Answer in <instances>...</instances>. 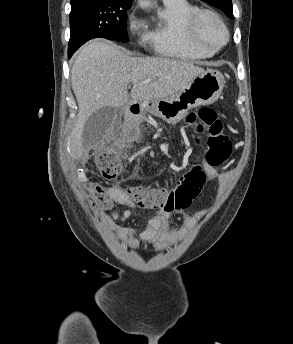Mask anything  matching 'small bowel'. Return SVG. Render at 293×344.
Masks as SVG:
<instances>
[{"instance_id": "obj_1", "label": "small bowel", "mask_w": 293, "mask_h": 344, "mask_svg": "<svg viewBox=\"0 0 293 344\" xmlns=\"http://www.w3.org/2000/svg\"><path fill=\"white\" fill-rule=\"evenodd\" d=\"M218 175L217 171L206 164L196 168L194 172L196 180L202 185H206ZM107 192L116 205L124 206L125 209H116L104 215L103 224L110 235H116L119 242L131 250L139 246L140 240L158 251L165 250L182 240L195 222L201 220L207 213V210H202L194 216L182 213V227L176 229L171 225L172 212L158 209L144 224L127 227L122 223L130 218L132 210L137 207L134 199L124 192L119 184L107 188Z\"/></svg>"}]
</instances>
